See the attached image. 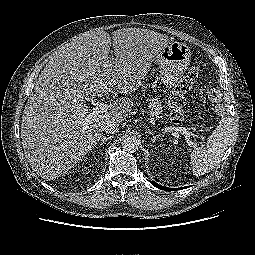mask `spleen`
I'll use <instances>...</instances> for the list:
<instances>
[{"label":"spleen","instance_id":"spleen-1","mask_svg":"<svg viewBox=\"0 0 255 255\" xmlns=\"http://www.w3.org/2000/svg\"><path fill=\"white\" fill-rule=\"evenodd\" d=\"M232 124L229 118H223L204 148H198L190 154L192 172L196 176L206 174L213 170L226 149L232 137Z\"/></svg>","mask_w":255,"mask_h":255}]
</instances>
